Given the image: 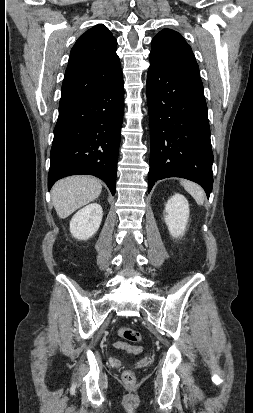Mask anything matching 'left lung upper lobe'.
I'll return each instance as SVG.
<instances>
[{
    "mask_svg": "<svg viewBox=\"0 0 253 413\" xmlns=\"http://www.w3.org/2000/svg\"><path fill=\"white\" fill-rule=\"evenodd\" d=\"M150 56L156 57L176 74L203 87L192 49L178 32L161 30L152 40Z\"/></svg>",
    "mask_w": 253,
    "mask_h": 413,
    "instance_id": "1",
    "label": "left lung upper lobe"
}]
</instances>
